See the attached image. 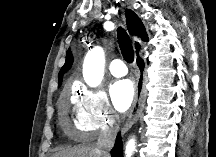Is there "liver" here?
<instances>
[{
  "label": "liver",
  "instance_id": "liver-1",
  "mask_svg": "<svg viewBox=\"0 0 216 157\" xmlns=\"http://www.w3.org/2000/svg\"><path fill=\"white\" fill-rule=\"evenodd\" d=\"M53 157H101L95 147L81 146L71 149H64L54 154Z\"/></svg>",
  "mask_w": 216,
  "mask_h": 157
}]
</instances>
